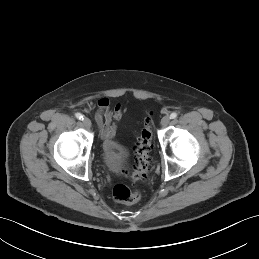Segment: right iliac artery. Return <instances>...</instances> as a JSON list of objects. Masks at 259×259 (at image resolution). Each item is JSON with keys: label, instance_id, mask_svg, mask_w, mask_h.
I'll return each mask as SVG.
<instances>
[{"label": "right iliac artery", "instance_id": "obj_1", "mask_svg": "<svg viewBox=\"0 0 259 259\" xmlns=\"http://www.w3.org/2000/svg\"><path fill=\"white\" fill-rule=\"evenodd\" d=\"M76 118L79 120H83V115L81 113H76Z\"/></svg>", "mask_w": 259, "mask_h": 259}]
</instances>
